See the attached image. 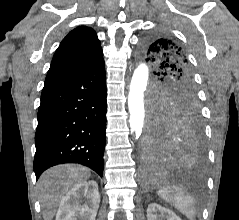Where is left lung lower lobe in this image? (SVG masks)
Masks as SVG:
<instances>
[{"instance_id":"obj_1","label":"left lung lower lobe","mask_w":239,"mask_h":220,"mask_svg":"<svg viewBox=\"0 0 239 220\" xmlns=\"http://www.w3.org/2000/svg\"><path fill=\"white\" fill-rule=\"evenodd\" d=\"M143 161L153 174L170 164H197L204 159L203 132L198 112H164L153 106Z\"/></svg>"}]
</instances>
